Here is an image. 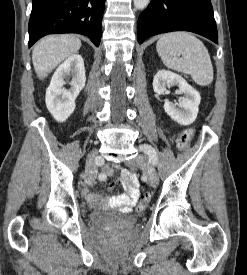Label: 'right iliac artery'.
<instances>
[{
	"label": "right iliac artery",
	"instance_id": "82829eb1",
	"mask_svg": "<svg viewBox=\"0 0 247 275\" xmlns=\"http://www.w3.org/2000/svg\"><path fill=\"white\" fill-rule=\"evenodd\" d=\"M95 164H99L98 165V168L99 169H102L103 168V165L104 164V158L103 157H95ZM105 175L103 172H100L99 175H98V180H105Z\"/></svg>",
	"mask_w": 247,
	"mask_h": 275
}]
</instances>
